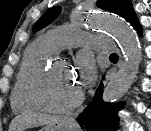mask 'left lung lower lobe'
I'll return each instance as SVG.
<instances>
[{
    "mask_svg": "<svg viewBox=\"0 0 151 131\" xmlns=\"http://www.w3.org/2000/svg\"><path fill=\"white\" fill-rule=\"evenodd\" d=\"M131 25L140 34L142 33L141 26L135 17ZM103 84L101 83L96 90L92 102L79 115L78 121L82 129L90 131H115L118 128L117 112L123 107V102L120 103H104L102 101Z\"/></svg>",
    "mask_w": 151,
    "mask_h": 131,
    "instance_id": "obj_1",
    "label": "left lung lower lobe"
}]
</instances>
